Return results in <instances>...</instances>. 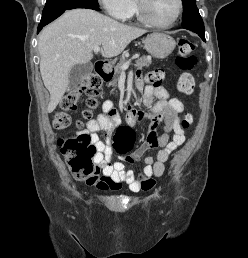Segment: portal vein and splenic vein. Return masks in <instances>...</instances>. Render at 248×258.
I'll return each instance as SVG.
<instances>
[{"mask_svg":"<svg viewBox=\"0 0 248 258\" xmlns=\"http://www.w3.org/2000/svg\"><path fill=\"white\" fill-rule=\"evenodd\" d=\"M94 52L95 53H98L100 51V47L99 46H96L94 47ZM139 58V55H134L130 60L126 61L122 66H121V70L122 72H124L126 69H128L129 65L131 64V60H134V59H138Z\"/></svg>","mask_w":248,"mask_h":258,"instance_id":"18ae733b","label":"portal vein and splenic vein"}]
</instances>
